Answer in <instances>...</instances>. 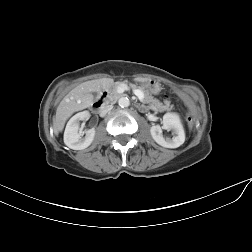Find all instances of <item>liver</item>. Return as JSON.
I'll use <instances>...</instances> for the list:
<instances>
[{
    "label": "liver",
    "mask_w": 252,
    "mask_h": 252,
    "mask_svg": "<svg viewBox=\"0 0 252 252\" xmlns=\"http://www.w3.org/2000/svg\"><path fill=\"white\" fill-rule=\"evenodd\" d=\"M114 84L111 78L91 80L80 84L60 102L53 120L55 135H58L66 119L75 111L86 108L93 102L92 92L108 90Z\"/></svg>",
    "instance_id": "1"
}]
</instances>
